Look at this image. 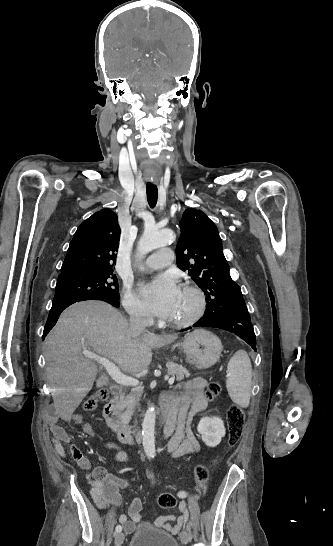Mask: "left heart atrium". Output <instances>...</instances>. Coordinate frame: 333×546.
<instances>
[{"instance_id": "left-heart-atrium-1", "label": "left heart atrium", "mask_w": 333, "mask_h": 546, "mask_svg": "<svg viewBox=\"0 0 333 546\" xmlns=\"http://www.w3.org/2000/svg\"><path fill=\"white\" fill-rule=\"evenodd\" d=\"M180 290L176 278L171 273H165L150 283L142 284L139 289L146 307L162 318L171 316Z\"/></svg>"}]
</instances>
